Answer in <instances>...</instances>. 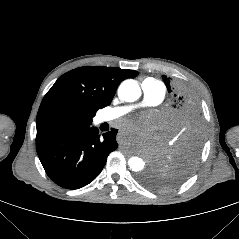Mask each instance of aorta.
Masks as SVG:
<instances>
[{"mask_svg":"<svg viewBox=\"0 0 239 239\" xmlns=\"http://www.w3.org/2000/svg\"><path fill=\"white\" fill-rule=\"evenodd\" d=\"M118 95L126 102H134L140 98L141 89L137 81L127 79L120 84ZM128 165L133 171L137 172L144 169L145 162L142 158L134 156L128 160Z\"/></svg>","mask_w":239,"mask_h":239,"instance_id":"obj_1","label":"aorta"}]
</instances>
